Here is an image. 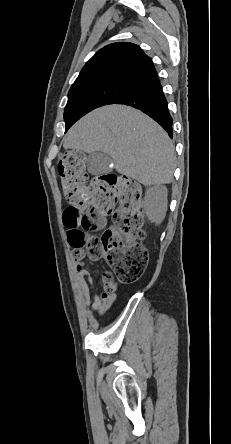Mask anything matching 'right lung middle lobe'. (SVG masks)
<instances>
[{
    "mask_svg": "<svg viewBox=\"0 0 231 444\" xmlns=\"http://www.w3.org/2000/svg\"><path fill=\"white\" fill-rule=\"evenodd\" d=\"M129 91L128 87L114 83L69 90L64 111L66 131L91 110L112 104Z\"/></svg>",
    "mask_w": 231,
    "mask_h": 444,
    "instance_id": "1",
    "label": "right lung middle lobe"
}]
</instances>
